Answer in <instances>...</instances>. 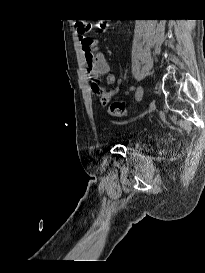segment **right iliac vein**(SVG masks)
<instances>
[{"label":"right iliac vein","instance_id":"1","mask_svg":"<svg viewBox=\"0 0 205 273\" xmlns=\"http://www.w3.org/2000/svg\"><path fill=\"white\" fill-rule=\"evenodd\" d=\"M143 94H144V90H143V87L142 86H139L136 90V93H135V99L136 101H140L143 97Z\"/></svg>","mask_w":205,"mask_h":273}]
</instances>
